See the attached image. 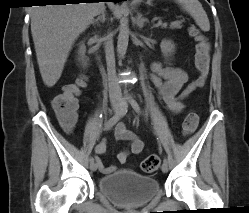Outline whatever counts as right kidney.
<instances>
[{
    "label": "right kidney",
    "instance_id": "right-kidney-1",
    "mask_svg": "<svg viewBox=\"0 0 249 213\" xmlns=\"http://www.w3.org/2000/svg\"><path fill=\"white\" fill-rule=\"evenodd\" d=\"M85 52H86V47L85 45L82 43L80 46H79V50H78V55H79V60L82 61V63L84 65H86V56H85Z\"/></svg>",
    "mask_w": 249,
    "mask_h": 213
}]
</instances>
